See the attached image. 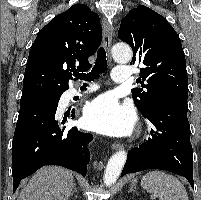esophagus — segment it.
<instances>
[{"label": "esophagus", "mask_w": 201, "mask_h": 200, "mask_svg": "<svg viewBox=\"0 0 201 200\" xmlns=\"http://www.w3.org/2000/svg\"><path fill=\"white\" fill-rule=\"evenodd\" d=\"M112 36H113V28H112L111 24L108 23L106 19H104V21H103V45L108 53L110 60H111L110 48H111ZM121 148H122V144H120V143L112 144L113 150H119Z\"/></svg>", "instance_id": "obj_1"}]
</instances>
